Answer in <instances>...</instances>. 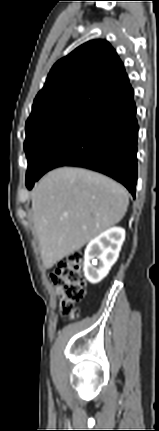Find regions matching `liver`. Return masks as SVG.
Segmentation results:
<instances>
[{
	"instance_id": "liver-1",
	"label": "liver",
	"mask_w": 159,
	"mask_h": 431,
	"mask_svg": "<svg viewBox=\"0 0 159 431\" xmlns=\"http://www.w3.org/2000/svg\"><path fill=\"white\" fill-rule=\"evenodd\" d=\"M32 220L46 269L79 250L124 217L127 190L102 174L63 167L34 187Z\"/></svg>"
}]
</instances>
